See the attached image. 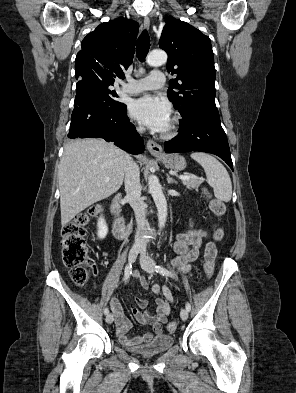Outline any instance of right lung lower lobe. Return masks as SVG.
<instances>
[{
	"mask_svg": "<svg viewBox=\"0 0 296 393\" xmlns=\"http://www.w3.org/2000/svg\"><path fill=\"white\" fill-rule=\"evenodd\" d=\"M68 137L103 138L132 154H139L144 150L142 138L127 117L126 106H110L83 80H79L76 85Z\"/></svg>",
	"mask_w": 296,
	"mask_h": 393,
	"instance_id": "obj_1",
	"label": "right lung lower lobe"
}]
</instances>
